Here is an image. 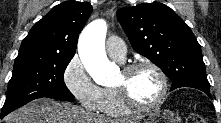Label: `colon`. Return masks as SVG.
Listing matches in <instances>:
<instances>
[{
	"label": "colon",
	"instance_id": "colon-1",
	"mask_svg": "<svg viewBox=\"0 0 221 123\" xmlns=\"http://www.w3.org/2000/svg\"><path fill=\"white\" fill-rule=\"evenodd\" d=\"M186 122L187 123H205L206 121L201 115L192 113L187 117Z\"/></svg>",
	"mask_w": 221,
	"mask_h": 123
}]
</instances>
